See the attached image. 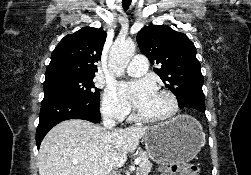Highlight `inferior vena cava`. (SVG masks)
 <instances>
[{"label":"inferior vena cava","mask_w":251,"mask_h":175,"mask_svg":"<svg viewBox=\"0 0 251 175\" xmlns=\"http://www.w3.org/2000/svg\"><path fill=\"white\" fill-rule=\"evenodd\" d=\"M103 125L104 127H107V129H114L115 131V125L116 121L112 115H109V113H106L103 117Z\"/></svg>","instance_id":"602c4592"}]
</instances>
